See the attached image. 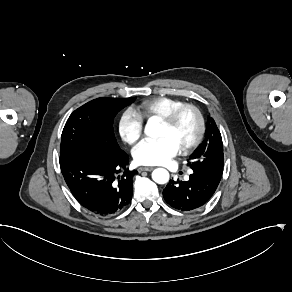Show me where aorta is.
<instances>
[{
    "label": "aorta",
    "instance_id": "762f6f07",
    "mask_svg": "<svg viewBox=\"0 0 292 292\" xmlns=\"http://www.w3.org/2000/svg\"><path fill=\"white\" fill-rule=\"evenodd\" d=\"M158 124L154 121L149 120L144 128V133L152 138L159 136L157 130ZM152 179L158 184H166L169 181V173L164 168H157L152 172Z\"/></svg>",
    "mask_w": 292,
    "mask_h": 292
}]
</instances>
